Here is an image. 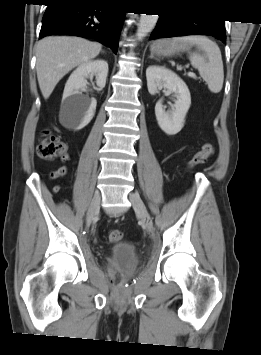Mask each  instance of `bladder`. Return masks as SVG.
Masks as SVG:
<instances>
[{"instance_id": "1", "label": "bladder", "mask_w": 261, "mask_h": 355, "mask_svg": "<svg viewBox=\"0 0 261 355\" xmlns=\"http://www.w3.org/2000/svg\"><path fill=\"white\" fill-rule=\"evenodd\" d=\"M109 269L116 274H131L139 263L136 248L129 242L115 244L107 259Z\"/></svg>"}]
</instances>
